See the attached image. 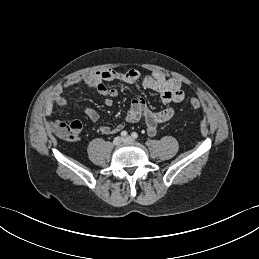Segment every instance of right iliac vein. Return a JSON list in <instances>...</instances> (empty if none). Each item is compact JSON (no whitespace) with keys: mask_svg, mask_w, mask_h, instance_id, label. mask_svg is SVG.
Here are the masks:
<instances>
[{"mask_svg":"<svg viewBox=\"0 0 259 259\" xmlns=\"http://www.w3.org/2000/svg\"><path fill=\"white\" fill-rule=\"evenodd\" d=\"M122 142H123V138H122V137H116V138L113 140V144H114L115 146L120 145Z\"/></svg>","mask_w":259,"mask_h":259,"instance_id":"right-iliac-vein-1","label":"right iliac vein"}]
</instances>
